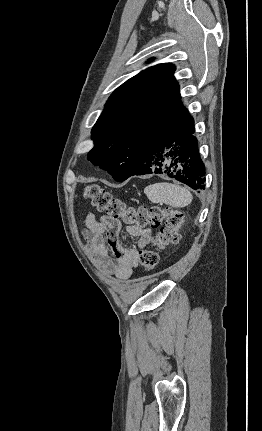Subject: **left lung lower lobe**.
Instances as JSON below:
<instances>
[{
    "instance_id": "left-lung-lower-lobe-1",
    "label": "left lung lower lobe",
    "mask_w": 262,
    "mask_h": 431,
    "mask_svg": "<svg viewBox=\"0 0 262 431\" xmlns=\"http://www.w3.org/2000/svg\"><path fill=\"white\" fill-rule=\"evenodd\" d=\"M193 134L194 123L177 129L151 152L139 155L130 176L165 174L194 190L204 189L205 166Z\"/></svg>"
}]
</instances>
